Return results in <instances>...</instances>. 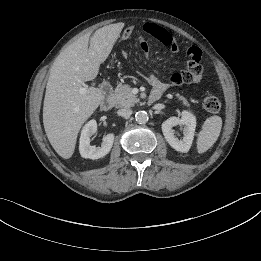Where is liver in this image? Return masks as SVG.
Instances as JSON below:
<instances>
[{
    "mask_svg": "<svg viewBox=\"0 0 261 261\" xmlns=\"http://www.w3.org/2000/svg\"><path fill=\"white\" fill-rule=\"evenodd\" d=\"M123 28L120 23L96 30L89 40L84 35L65 48L55 59L46 86L43 124L47 138L59 156L69 159L75 150L82 125L104 100L101 89L86 87L95 79L100 64L111 53Z\"/></svg>",
    "mask_w": 261,
    "mask_h": 261,
    "instance_id": "obj_1",
    "label": "liver"
}]
</instances>
